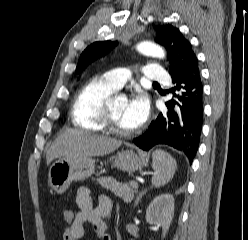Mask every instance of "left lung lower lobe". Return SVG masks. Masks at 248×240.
Wrapping results in <instances>:
<instances>
[{
	"instance_id": "left-lung-lower-lobe-1",
	"label": "left lung lower lobe",
	"mask_w": 248,
	"mask_h": 240,
	"mask_svg": "<svg viewBox=\"0 0 248 240\" xmlns=\"http://www.w3.org/2000/svg\"><path fill=\"white\" fill-rule=\"evenodd\" d=\"M175 99L166 103L167 113H159L148 130L133 140L148 151L166 144L183 152L192 163L200 142L203 124V85L198 60L195 58L181 75L172 77Z\"/></svg>"
}]
</instances>
